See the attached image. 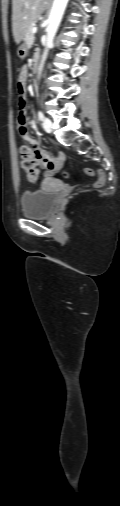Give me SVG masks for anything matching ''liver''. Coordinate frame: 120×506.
Returning a JSON list of instances; mask_svg holds the SVG:
<instances>
[{
    "mask_svg": "<svg viewBox=\"0 0 120 506\" xmlns=\"http://www.w3.org/2000/svg\"><path fill=\"white\" fill-rule=\"evenodd\" d=\"M47 4L48 0H12V31L17 44L28 26L45 11Z\"/></svg>",
    "mask_w": 120,
    "mask_h": 506,
    "instance_id": "6515ba94",
    "label": "liver"
}]
</instances>
